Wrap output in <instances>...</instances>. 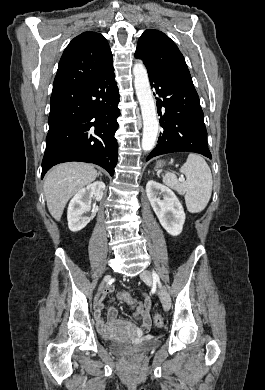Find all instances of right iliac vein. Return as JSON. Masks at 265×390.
<instances>
[{
  "label": "right iliac vein",
  "instance_id": "1",
  "mask_svg": "<svg viewBox=\"0 0 265 390\" xmlns=\"http://www.w3.org/2000/svg\"><path fill=\"white\" fill-rule=\"evenodd\" d=\"M110 279V276H106L103 280V282L101 283L100 287H99V292L102 291V289L104 288L105 286V283Z\"/></svg>",
  "mask_w": 265,
  "mask_h": 390
}]
</instances>
